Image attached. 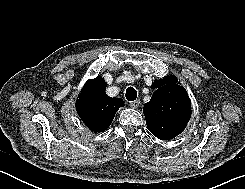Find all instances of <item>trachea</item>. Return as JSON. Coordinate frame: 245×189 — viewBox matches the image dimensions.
Listing matches in <instances>:
<instances>
[{
  "instance_id": "trachea-1",
  "label": "trachea",
  "mask_w": 245,
  "mask_h": 189,
  "mask_svg": "<svg viewBox=\"0 0 245 189\" xmlns=\"http://www.w3.org/2000/svg\"><path fill=\"white\" fill-rule=\"evenodd\" d=\"M125 96L128 101H134L137 98V92L133 87H128Z\"/></svg>"
}]
</instances>
